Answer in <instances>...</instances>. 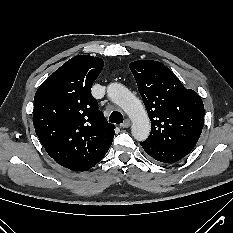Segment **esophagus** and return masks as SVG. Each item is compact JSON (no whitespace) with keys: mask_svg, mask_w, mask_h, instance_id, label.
I'll use <instances>...</instances> for the list:
<instances>
[{"mask_svg":"<svg viewBox=\"0 0 233 233\" xmlns=\"http://www.w3.org/2000/svg\"><path fill=\"white\" fill-rule=\"evenodd\" d=\"M130 126V120L126 119L124 123L121 125L122 128H128Z\"/></svg>","mask_w":233,"mask_h":233,"instance_id":"1","label":"esophagus"}]
</instances>
